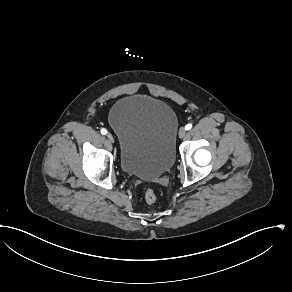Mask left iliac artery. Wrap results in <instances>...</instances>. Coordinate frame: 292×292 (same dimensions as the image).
I'll list each match as a JSON object with an SVG mask.
<instances>
[{"label": "left iliac artery", "mask_w": 292, "mask_h": 292, "mask_svg": "<svg viewBox=\"0 0 292 292\" xmlns=\"http://www.w3.org/2000/svg\"><path fill=\"white\" fill-rule=\"evenodd\" d=\"M192 128V124L191 123H189V124H187L186 126H185V129L186 130H190Z\"/></svg>", "instance_id": "left-iliac-artery-1"}]
</instances>
